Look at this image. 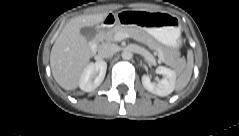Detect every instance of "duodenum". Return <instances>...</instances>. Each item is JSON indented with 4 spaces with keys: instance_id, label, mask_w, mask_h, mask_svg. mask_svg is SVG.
Masks as SVG:
<instances>
[{
    "instance_id": "410a0bca",
    "label": "duodenum",
    "mask_w": 239,
    "mask_h": 136,
    "mask_svg": "<svg viewBox=\"0 0 239 136\" xmlns=\"http://www.w3.org/2000/svg\"><path fill=\"white\" fill-rule=\"evenodd\" d=\"M118 21V17L115 15H109L106 20H105V24L110 25V24H114L115 22ZM98 46V41H94L90 44V51L92 53H94L97 49Z\"/></svg>"
}]
</instances>
